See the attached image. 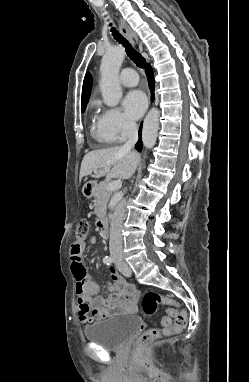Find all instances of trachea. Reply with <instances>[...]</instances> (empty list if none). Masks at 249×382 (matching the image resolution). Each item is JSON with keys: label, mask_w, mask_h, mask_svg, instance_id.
<instances>
[{"label": "trachea", "mask_w": 249, "mask_h": 382, "mask_svg": "<svg viewBox=\"0 0 249 382\" xmlns=\"http://www.w3.org/2000/svg\"><path fill=\"white\" fill-rule=\"evenodd\" d=\"M112 35L114 39L125 47V50L130 57V59L140 68H145L146 60L137 51H135L130 43L116 30V28H111Z\"/></svg>", "instance_id": "3493384b"}]
</instances>
